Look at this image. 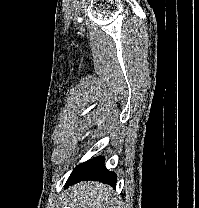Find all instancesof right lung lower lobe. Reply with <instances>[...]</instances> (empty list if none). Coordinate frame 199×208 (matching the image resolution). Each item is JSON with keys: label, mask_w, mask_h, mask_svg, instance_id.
I'll return each instance as SVG.
<instances>
[{"label": "right lung lower lobe", "mask_w": 199, "mask_h": 208, "mask_svg": "<svg viewBox=\"0 0 199 208\" xmlns=\"http://www.w3.org/2000/svg\"><path fill=\"white\" fill-rule=\"evenodd\" d=\"M85 180H99L115 188L116 174L114 172H109L105 168L104 158L99 156L78 165L68 178L65 187Z\"/></svg>", "instance_id": "1"}]
</instances>
